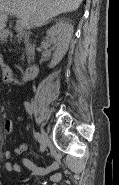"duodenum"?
Instances as JSON below:
<instances>
[{"label": "duodenum", "instance_id": "1", "mask_svg": "<svg viewBox=\"0 0 119 185\" xmlns=\"http://www.w3.org/2000/svg\"><path fill=\"white\" fill-rule=\"evenodd\" d=\"M39 72V66L36 63L31 64L29 67H27L24 71V78L26 80H32L34 79Z\"/></svg>", "mask_w": 119, "mask_h": 185}]
</instances>
